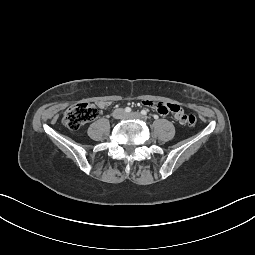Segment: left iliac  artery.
<instances>
[{"mask_svg":"<svg viewBox=\"0 0 255 255\" xmlns=\"http://www.w3.org/2000/svg\"><path fill=\"white\" fill-rule=\"evenodd\" d=\"M141 114H142V115H147V110H142V111H141Z\"/></svg>","mask_w":255,"mask_h":255,"instance_id":"obj_1","label":"left iliac artery"}]
</instances>
